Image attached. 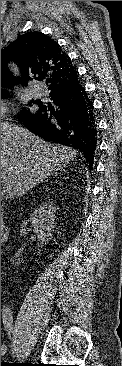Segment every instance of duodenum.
Wrapping results in <instances>:
<instances>
[{
	"label": "duodenum",
	"instance_id": "410a0bca",
	"mask_svg": "<svg viewBox=\"0 0 122 366\" xmlns=\"http://www.w3.org/2000/svg\"><path fill=\"white\" fill-rule=\"evenodd\" d=\"M5 236H6V234H5L4 229L2 228V225H1V242L4 241Z\"/></svg>",
	"mask_w": 122,
	"mask_h": 366
}]
</instances>
